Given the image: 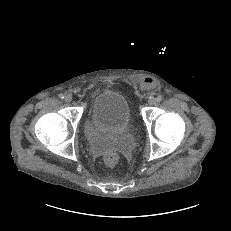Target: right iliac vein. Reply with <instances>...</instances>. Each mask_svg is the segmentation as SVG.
Masks as SVG:
<instances>
[{"label": "right iliac vein", "instance_id": "63e3f726", "mask_svg": "<svg viewBox=\"0 0 231 231\" xmlns=\"http://www.w3.org/2000/svg\"><path fill=\"white\" fill-rule=\"evenodd\" d=\"M64 99L66 102L70 103L72 101V96L70 94H67Z\"/></svg>", "mask_w": 231, "mask_h": 231}]
</instances>
